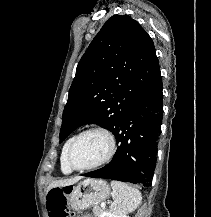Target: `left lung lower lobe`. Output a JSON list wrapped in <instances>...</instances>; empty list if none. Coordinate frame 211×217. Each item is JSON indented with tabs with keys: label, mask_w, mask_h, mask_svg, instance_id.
<instances>
[{
	"label": "left lung lower lobe",
	"mask_w": 211,
	"mask_h": 217,
	"mask_svg": "<svg viewBox=\"0 0 211 217\" xmlns=\"http://www.w3.org/2000/svg\"><path fill=\"white\" fill-rule=\"evenodd\" d=\"M161 74L130 106L115 127L118 148L105 167L83 174L151 186L163 119Z\"/></svg>",
	"instance_id": "0a47b994"
}]
</instances>
